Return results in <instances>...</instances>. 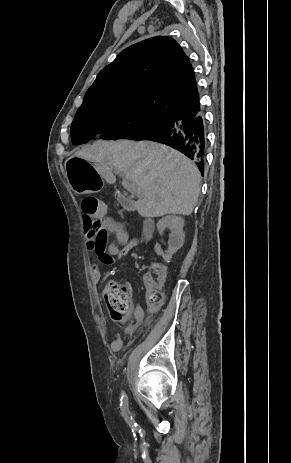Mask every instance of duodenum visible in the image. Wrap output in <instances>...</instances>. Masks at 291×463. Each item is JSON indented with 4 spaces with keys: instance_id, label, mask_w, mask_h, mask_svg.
<instances>
[{
    "instance_id": "duodenum-1",
    "label": "duodenum",
    "mask_w": 291,
    "mask_h": 463,
    "mask_svg": "<svg viewBox=\"0 0 291 463\" xmlns=\"http://www.w3.org/2000/svg\"><path fill=\"white\" fill-rule=\"evenodd\" d=\"M115 198L118 200L120 205L127 209L132 210L134 208V203L130 197L122 191L115 192ZM154 232V221L150 218H147L144 221L143 228H142V237L144 241H148Z\"/></svg>"
}]
</instances>
